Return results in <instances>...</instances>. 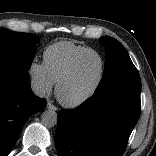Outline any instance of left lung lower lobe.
Segmentation results:
<instances>
[{"label":"left lung lower lobe","instance_id":"1","mask_svg":"<svg viewBox=\"0 0 156 156\" xmlns=\"http://www.w3.org/2000/svg\"><path fill=\"white\" fill-rule=\"evenodd\" d=\"M140 91L110 88L58 113L60 156H121L140 115Z\"/></svg>","mask_w":156,"mask_h":156}]
</instances>
